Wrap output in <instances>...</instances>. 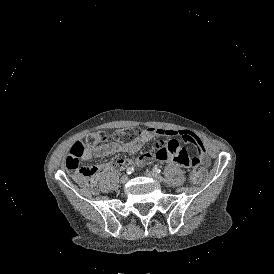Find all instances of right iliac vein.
<instances>
[{
  "mask_svg": "<svg viewBox=\"0 0 274 274\" xmlns=\"http://www.w3.org/2000/svg\"><path fill=\"white\" fill-rule=\"evenodd\" d=\"M127 181H128V176H127V175H123V176L120 178V182H121L122 184H125Z\"/></svg>",
  "mask_w": 274,
  "mask_h": 274,
  "instance_id": "obj_1",
  "label": "right iliac vein"
}]
</instances>
